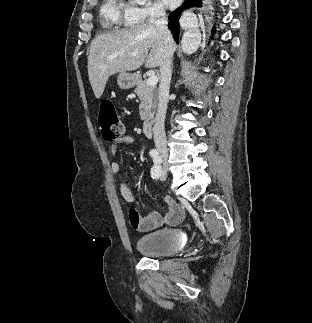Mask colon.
<instances>
[{
	"label": "colon",
	"instance_id": "obj_1",
	"mask_svg": "<svg viewBox=\"0 0 312 323\" xmlns=\"http://www.w3.org/2000/svg\"><path fill=\"white\" fill-rule=\"evenodd\" d=\"M99 128L106 140L119 139L124 136V125L118 117L112 101L105 100L100 105Z\"/></svg>",
	"mask_w": 312,
	"mask_h": 323
}]
</instances>
